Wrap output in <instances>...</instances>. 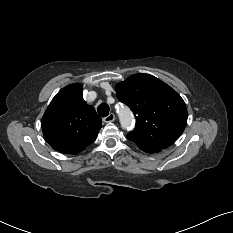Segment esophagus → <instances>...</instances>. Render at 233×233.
Returning a JSON list of instances; mask_svg holds the SVG:
<instances>
[{"mask_svg":"<svg viewBox=\"0 0 233 233\" xmlns=\"http://www.w3.org/2000/svg\"><path fill=\"white\" fill-rule=\"evenodd\" d=\"M115 119H116L115 114H114V113H110L108 116H106V117L103 119V121H104L105 123H111V122H113Z\"/></svg>","mask_w":233,"mask_h":233,"instance_id":"esophagus-1","label":"esophagus"}]
</instances>
